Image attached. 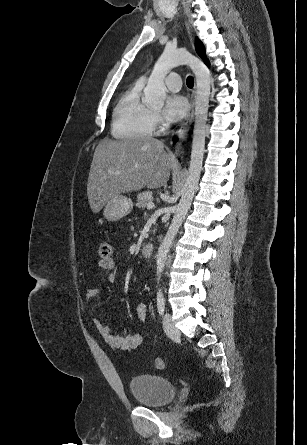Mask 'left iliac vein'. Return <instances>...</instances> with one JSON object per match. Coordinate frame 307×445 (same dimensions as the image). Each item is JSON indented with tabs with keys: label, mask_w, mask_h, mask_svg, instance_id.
<instances>
[{
	"label": "left iliac vein",
	"mask_w": 307,
	"mask_h": 445,
	"mask_svg": "<svg viewBox=\"0 0 307 445\" xmlns=\"http://www.w3.org/2000/svg\"><path fill=\"white\" fill-rule=\"evenodd\" d=\"M163 328L165 333L170 337H178L180 335V331L175 326L172 316L169 313H165L163 317Z\"/></svg>",
	"instance_id": "1"
}]
</instances>
